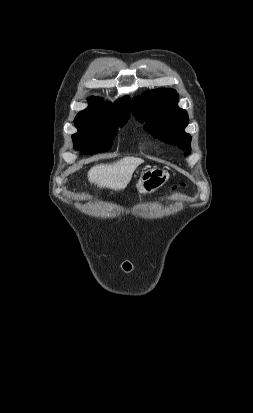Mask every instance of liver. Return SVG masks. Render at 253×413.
Returning a JSON list of instances; mask_svg holds the SVG:
<instances>
[{"label":"liver","instance_id":"obj_1","mask_svg":"<svg viewBox=\"0 0 253 413\" xmlns=\"http://www.w3.org/2000/svg\"><path fill=\"white\" fill-rule=\"evenodd\" d=\"M144 160L126 157L113 163L98 164L88 171V180L99 188L123 190L131 180L133 172Z\"/></svg>","mask_w":253,"mask_h":413}]
</instances>
